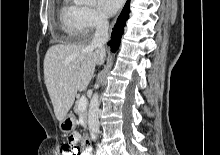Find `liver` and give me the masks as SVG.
<instances>
[{"mask_svg": "<svg viewBox=\"0 0 220 155\" xmlns=\"http://www.w3.org/2000/svg\"><path fill=\"white\" fill-rule=\"evenodd\" d=\"M97 60L98 55L90 46L57 44L48 49L44 81L59 122L72 107L77 91L89 85Z\"/></svg>", "mask_w": 220, "mask_h": 155, "instance_id": "1", "label": "liver"}]
</instances>
